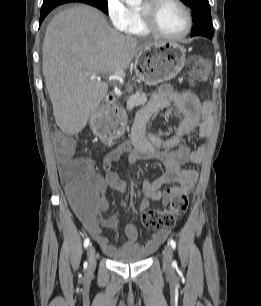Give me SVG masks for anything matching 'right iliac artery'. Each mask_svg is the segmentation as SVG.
<instances>
[{"label": "right iliac artery", "mask_w": 261, "mask_h": 306, "mask_svg": "<svg viewBox=\"0 0 261 306\" xmlns=\"http://www.w3.org/2000/svg\"><path fill=\"white\" fill-rule=\"evenodd\" d=\"M89 243H90V239H89V238H86V239L84 240V248H87L88 245H89Z\"/></svg>", "instance_id": "right-iliac-artery-1"}]
</instances>
